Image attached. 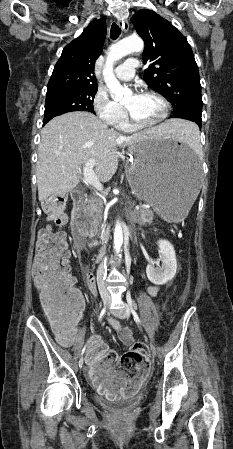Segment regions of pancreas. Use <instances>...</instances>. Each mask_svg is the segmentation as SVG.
Wrapping results in <instances>:
<instances>
[{
    "label": "pancreas",
    "instance_id": "obj_1",
    "mask_svg": "<svg viewBox=\"0 0 233 449\" xmlns=\"http://www.w3.org/2000/svg\"><path fill=\"white\" fill-rule=\"evenodd\" d=\"M103 200L93 195L87 201V204L84 207L85 213L90 218V224L93 226V232L97 233L98 227L100 226L103 218ZM127 215L130 219L137 224L145 225L147 223H151L154 217V213L150 209H140V210H131L128 211Z\"/></svg>",
    "mask_w": 233,
    "mask_h": 449
}]
</instances>
